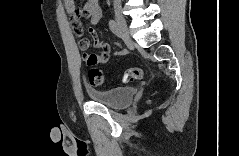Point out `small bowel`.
Wrapping results in <instances>:
<instances>
[{"label":"small bowel","mask_w":239,"mask_h":156,"mask_svg":"<svg viewBox=\"0 0 239 156\" xmlns=\"http://www.w3.org/2000/svg\"><path fill=\"white\" fill-rule=\"evenodd\" d=\"M64 6L67 12L71 15V23L75 34L79 37V47L82 51L86 52L90 48V40L83 36V29L81 27L80 18L85 17L91 25H96L102 17V6L99 0H88L82 7H77L71 0L64 1ZM78 14H81L79 17ZM93 45L99 49V53H85L84 58L89 66H96L98 64L106 63L110 56L111 50L107 43L102 42L99 38L97 31L91 27L89 28ZM126 53V49L122 48L114 51L113 55L121 56Z\"/></svg>","instance_id":"1"}]
</instances>
